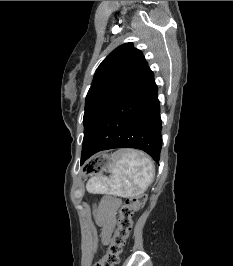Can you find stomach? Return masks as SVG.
Instances as JSON below:
<instances>
[{
    "label": "stomach",
    "instance_id": "1",
    "mask_svg": "<svg viewBox=\"0 0 233 266\" xmlns=\"http://www.w3.org/2000/svg\"><path fill=\"white\" fill-rule=\"evenodd\" d=\"M115 156H109V152H94L92 161H87V166H113ZM83 176L87 180H92L98 172H104V167H82Z\"/></svg>",
    "mask_w": 233,
    "mask_h": 266
}]
</instances>
